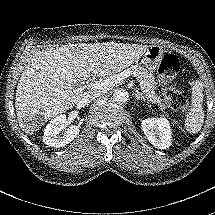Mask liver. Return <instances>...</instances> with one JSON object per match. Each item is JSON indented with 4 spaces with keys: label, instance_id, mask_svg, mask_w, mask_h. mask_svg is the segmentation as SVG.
I'll return each instance as SVG.
<instances>
[{
    "label": "liver",
    "instance_id": "obj_1",
    "mask_svg": "<svg viewBox=\"0 0 215 215\" xmlns=\"http://www.w3.org/2000/svg\"><path fill=\"white\" fill-rule=\"evenodd\" d=\"M147 45L103 42L67 44L38 51L18 81L15 98L22 131L32 135L46 121L72 109L82 98L90 73L121 72L138 60ZM83 84V86H80Z\"/></svg>",
    "mask_w": 215,
    "mask_h": 215
}]
</instances>
